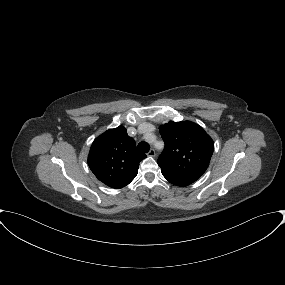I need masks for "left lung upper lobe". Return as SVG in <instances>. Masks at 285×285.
Segmentation results:
<instances>
[{"instance_id":"5c2ea615","label":"left lung upper lobe","mask_w":285,"mask_h":285,"mask_svg":"<svg viewBox=\"0 0 285 285\" xmlns=\"http://www.w3.org/2000/svg\"><path fill=\"white\" fill-rule=\"evenodd\" d=\"M165 149L157 163L161 171L199 178L208 168L214 143L205 130L190 121L169 122L160 127Z\"/></svg>"}]
</instances>
